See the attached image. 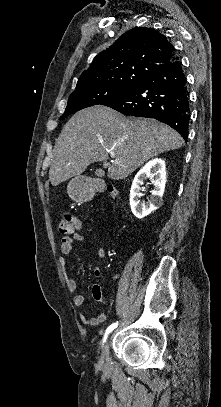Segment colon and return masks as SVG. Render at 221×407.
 Here are the masks:
<instances>
[{
  "label": "colon",
  "instance_id": "obj_1",
  "mask_svg": "<svg viewBox=\"0 0 221 407\" xmlns=\"http://www.w3.org/2000/svg\"><path fill=\"white\" fill-rule=\"evenodd\" d=\"M108 191L112 198H118V193L116 189L112 186L108 187ZM78 228V220L71 213H66L63 219L58 224L59 232L62 235H71Z\"/></svg>",
  "mask_w": 221,
  "mask_h": 407
}]
</instances>
